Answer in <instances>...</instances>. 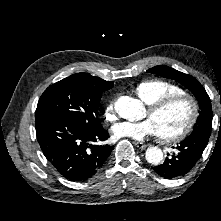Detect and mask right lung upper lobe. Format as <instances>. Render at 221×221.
<instances>
[{
  "instance_id": "right-lung-upper-lobe-1",
  "label": "right lung upper lobe",
  "mask_w": 221,
  "mask_h": 221,
  "mask_svg": "<svg viewBox=\"0 0 221 221\" xmlns=\"http://www.w3.org/2000/svg\"><path fill=\"white\" fill-rule=\"evenodd\" d=\"M69 77L77 78V79H81V80H85V81L97 84L98 86H100L104 89H107V90H109L110 88L113 87V82L112 81H105V80L100 79L98 77L91 76L87 73H76V74H73Z\"/></svg>"
}]
</instances>
